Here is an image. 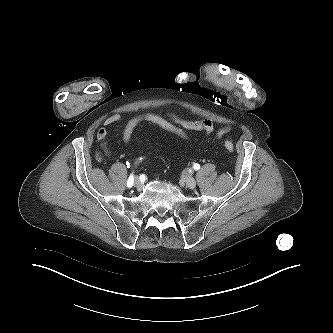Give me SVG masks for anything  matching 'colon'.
<instances>
[{
	"label": "colon",
	"instance_id": "5ec220e1",
	"mask_svg": "<svg viewBox=\"0 0 333 333\" xmlns=\"http://www.w3.org/2000/svg\"><path fill=\"white\" fill-rule=\"evenodd\" d=\"M143 124H153L171 133H174L175 135L179 136L182 139H188V135L185 132V130L179 127L178 125L172 123L165 116L156 113H142L132 117L127 121L123 129V134H122L123 140L125 142H129L132 139L135 130L140 125ZM224 146L229 152L232 153L234 151V146L232 142L225 141Z\"/></svg>",
	"mask_w": 333,
	"mask_h": 333
}]
</instances>
